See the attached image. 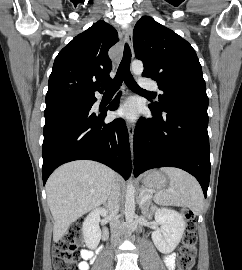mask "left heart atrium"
Instances as JSON below:
<instances>
[{
	"instance_id": "obj_1",
	"label": "left heart atrium",
	"mask_w": 242,
	"mask_h": 270,
	"mask_svg": "<svg viewBox=\"0 0 242 270\" xmlns=\"http://www.w3.org/2000/svg\"><path fill=\"white\" fill-rule=\"evenodd\" d=\"M117 115L119 117L128 119V120H134L137 118L139 113V106L138 103L131 99L126 102H124L117 110Z\"/></svg>"
}]
</instances>
